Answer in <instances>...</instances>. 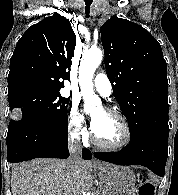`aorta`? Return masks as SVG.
Segmentation results:
<instances>
[{
	"mask_svg": "<svg viewBox=\"0 0 178 195\" xmlns=\"http://www.w3.org/2000/svg\"><path fill=\"white\" fill-rule=\"evenodd\" d=\"M103 52L100 49H91L82 56L79 67V85L84 99V110L89 113L94 106L100 105V100L93 90V75L100 65Z\"/></svg>",
	"mask_w": 178,
	"mask_h": 195,
	"instance_id": "obj_1",
	"label": "aorta"
}]
</instances>
